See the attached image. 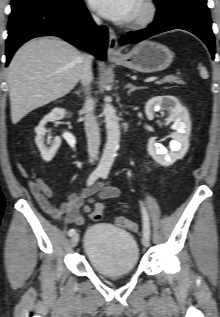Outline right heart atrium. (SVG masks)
Returning <instances> with one entry per match:
<instances>
[{
	"label": "right heart atrium",
	"mask_w": 220,
	"mask_h": 317,
	"mask_svg": "<svg viewBox=\"0 0 220 317\" xmlns=\"http://www.w3.org/2000/svg\"><path fill=\"white\" fill-rule=\"evenodd\" d=\"M92 18H93L95 21H98V18H97L95 15H92Z\"/></svg>",
	"instance_id": "1"
}]
</instances>
